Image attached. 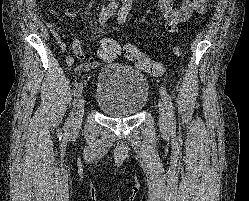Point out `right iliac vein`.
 <instances>
[{
    "label": "right iliac vein",
    "instance_id": "right-iliac-vein-1",
    "mask_svg": "<svg viewBox=\"0 0 249 201\" xmlns=\"http://www.w3.org/2000/svg\"><path fill=\"white\" fill-rule=\"evenodd\" d=\"M84 105H85V100L82 97L79 98V102L77 104V109L75 112V117L73 119V129L76 130L80 127L83 115H84Z\"/></svg>",
    "mask_w": 249,
    "mask_h": 201
}]
</instances>
